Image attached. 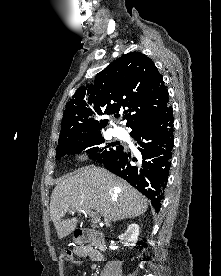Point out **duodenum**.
<instances>
[{
    "mask_svg": "<svg viewBox=\"0 0 221 276\" xmlns=\"http://www.w3.org/2000/svg\"><path fill=\"white\" fill-rule=\"evenodd\" d=\"M74 236L76 241L82 245L83 247H89L85 244H91L94 250L101 253V251L105 250V242L100 233L95 230L82 228L77 229L74 232ZM102 255V254H101Z\"/></svg>",
    "mask_w": 221,
    "mask_h": 276,
    "instance_id": "duodenum-1",
    "label": "duodenum"
}]
</instances>
